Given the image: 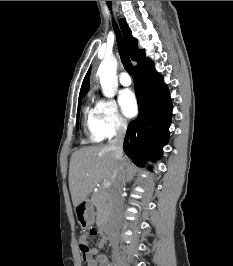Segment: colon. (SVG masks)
I'll return each instance as SVG.
<instances>
[{
    "label": "colon",
    "instance_id": "5ec220e1",
    "mask_svg": "<svg viewBox=\"0 0 233 266\" xmlns=\"http://www.w3.org/2000/svg\"><path fill=\"white\" fill-rule=\"evenodd\" d=\"M98 233L96 228H91L88 232L84 233L81 237L82 242L80 243V250L82 254L83 260L89 256V246L87 244V240L90 237L95 236Z\"/></svg>",
    "mask_w": 233,
    "mask_h": 266
}]
</instances>
